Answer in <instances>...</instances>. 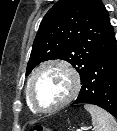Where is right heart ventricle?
I'll return each instance as SVG.
<instances>
[{
  "instance_id": "obj_1",
  "label": "right heart ventricle",
  "mask_w": 117,
  "mask_h": 131,
  "mask_svg": "<svg viewBox=\"0 0 117 131\" xmlns=\"http://www.w3.org/2000/svg\"><path fill=\"white\" fill-rule=\"evenodd\" d=\"M25 98H26V103H27L28 108L30 109V111L32 113H35L36 111L32 108V106H31V104L29 102V99H28V96H27V89H26V92H25Z\"/></svg>"
}]
</instances>
